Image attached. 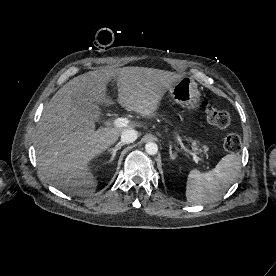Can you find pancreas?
Returning <instances> with one entry per match:
<instances>
[{"label": "pancreas", "mask_w": 276, "mask_h": 276, "mask_svg": "<svg viewBox=\"0 0 276 276\" xmlns=\"http://www.w3.org/2000/svg\"><path fill=\"white\" fill-rule=\"evenodd\" d=\"M192 146H193V150H195V151H201V149H199L196 141L192 142ZM204 149H206V147H204Z\"/></svg>", "instance_id": "1"}]
</instances>
